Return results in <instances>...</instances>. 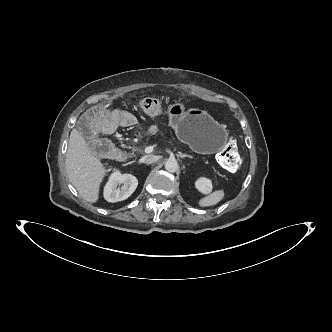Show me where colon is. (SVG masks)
Returning <instances> with one entry per match:
<instances>
[{"label":"colon","mask_w":332,"mask_h":332,"mask_svg":"<svg viewBox=\"0 0 332 332\" xmlns=\"http://www.w3.org/2000/svg\"><path fill=\"white\" fill-rule=\"evenodd\" d=\"M91 148L99 155H108L112 152L113 146L110 141L106 139L97 140L91 143ZM219 164L229 172H236L239 170L242 159L237 151L236 139L231 137L227 140L224 147L218 153Z\"/></svg>","instance_id":"1"}]
</instances>
